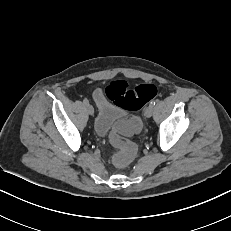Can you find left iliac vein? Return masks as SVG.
I'll list each match as a JSON object with an SVG mask.
<instances>
[{"label":"left iliac vein","mask_w":231,"mask_h":231,"mask_svg":"<svg viewBox=\"0 0 231 231\" xmlns=\"http://www.w3.org/2000/svg\"><path fill=\"white\" fill-rule=\"evenodd\" d=\"M153 107L154 106H152L151 104L146 107V109H145V116L147 118H150L152 116V114H153Z\"/></svg>","instance_id":"left-iliac-vein-1"}]
</instances>
